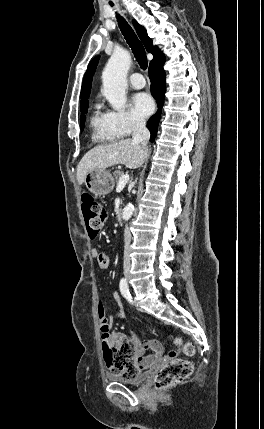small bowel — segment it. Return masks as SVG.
Wrapping results in <instances>:
<instances>
[{
	"label": "small bowel",
	"mask_w": 264,
	"mask_h": 429,
	"mask_svg": "<svg viewBox=\"0 0 264 429\" xmlns=\"http://www.w3.org/2000/svg\"><path fill=\"white\" fill-rule=\"evenodd\" d=\"M91 254L97 259L98 264L102 269H106L109 267L110 258L107 254L99 252L95 248L92 249ZM114 298L118 306V312L116 316H110L108 318V329L113 325L115 318L124 319L126 317L125 310L118 293H114ZM99 305L104 306L102 302H100ZM130 341L134 346L135 361L138 364L140 370L149 369L161 362L163 359H165V356L163 354V347L161 343L157 340L141 342L137 338L131 337ZM147 350H152L154 354L146 355ZM173 355H176V353L171 352L169 354V357H172Z\"/></svg>",
	"instance_id": "obj_1"
}]
</instances>
